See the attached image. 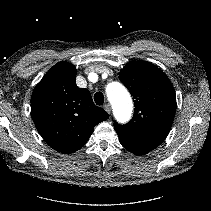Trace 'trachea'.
<instances>
[{
    "label": "trachea",
    "instance_id": "1",
    "mask_svg": "<svg viewBox=\"0 0 211 211\" xmlns=\"http://www.w3.org/2000/svg\"><path fill=\"white\" fill-rule=\"evenodd\" d=\"M94 101L97 105H103L104 103V95L102 92H96L94 95Z\"/></svg>",
    "mask_w": 211,
    "mask_h": 211
}]
</instances>
